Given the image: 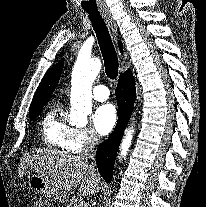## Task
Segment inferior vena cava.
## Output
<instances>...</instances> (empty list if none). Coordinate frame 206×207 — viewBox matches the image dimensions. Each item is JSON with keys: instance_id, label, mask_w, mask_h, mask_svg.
Returning a JSON list of instances; mask_svg holds the SVG:
<instances>
[{"instance_id": "obj_1", "label": "inferior vena cava", "mask_w": 206, "mask_h": 207, "mask_svg": "<svg viewBox=\"0 0 206 207\" xmlns=\"http://www.w3.org/2000/svg\"><path fill=\"white\" fill-rule=\"evenodd\" d=\"M98 142L97 135L92 132L89 134L85 144L82 153L80 154V158L84 161H87L88 159L91 160L89 169L96 173V162H95V147Z\"/></svg>"}]
</instances>
